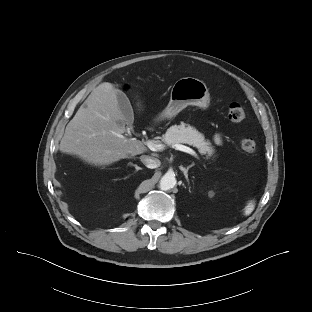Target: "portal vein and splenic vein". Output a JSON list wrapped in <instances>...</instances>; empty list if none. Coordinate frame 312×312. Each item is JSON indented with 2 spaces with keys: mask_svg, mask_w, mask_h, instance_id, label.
<instances>
[{
  "mask_svg": "<svg viewBox=\"0 0 312 312\" xmlns=\"http://www.w3.org/2000/svg\"><path fill=\"white\" fill-rule=\"evenodd\" d=\"M146 146L152 150V151H160L164 148V146L162 144H159L157 141L154 140H148L146 141ZM175 149L186 152L196 158H198V155L196 154V152L191 149L190 147H187L185 145H181V144H176Z\"/></svg>",
  "mask_w": 312,
  "mask_h": 312,
  "instance_id": "1",
  "label": "portal vein and splenic vein"
}]
</instances>
